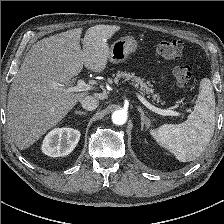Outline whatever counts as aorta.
<instances>
[{
	"instance_id": "1",
	"label": "aorta",
	"mask_w": 224,
	"mask_h": 224,
	"mask_svg": "<svg viewBox=\"0 0 224 224\" xmlns=\"http://www.w3.org/2000/svg\"><path fill=\"white\" fill-rule=\"evenodd\" d=\"M127 120V112L124 110H116L112 114V122L116 125H123Z\"/></svg>"
}]
</instances>
